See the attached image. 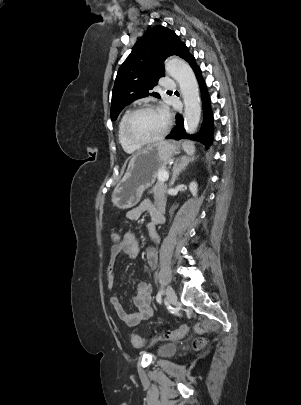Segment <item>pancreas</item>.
I'll use <instances>...</instances> for the list:
<instances>
[{
  "mask_svg": "<svg viewBox=\"0 0 301 405\" xmlns=\"http://www.w3.org/2000/svg\"><path fill=\"white\" fill-rule=\"evenodd\" d=\"M161 171H165V168L160 169L157 173V176H158L159 172H161ZM165 192H166V186L164 185V183L162 181H158L156 183V185L153 187V189L149 192V193L154 194L155 204L161 209H163L165 207L166 201H167Z\"/></svg>",
  "mask_w": 301,
  "mask_h": 405,
  "instance_id": "cf45deb5",
  "label": "pancreas"
}]
</instances>
